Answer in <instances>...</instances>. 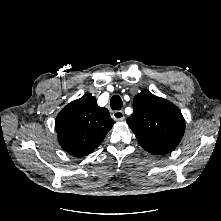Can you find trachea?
<instances>
[{
	"instance_id": "obj_1",
	"label": "trachea",
	"mask_w": 221,
	"mask_h": 221,
	"mask_svg": "<svg viewBox=\"0 0 221 221\" xmlns=\"http://www.w3.org/2000/svg\"><path fill=\"white\" fill-rule=\"evenodd\" d=\"M110 106L113 110H120L123 106L121 97L119 95H113L110 99Z\"/></svg>"
}]
</instances>
